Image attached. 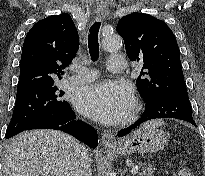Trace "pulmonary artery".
I'll use <instances>...</instances> for the list:
<instances>
[{
  "label": "pulmonary artery",
  "mask_w": 205,
  "mask_h": 176,
  "mask_svg": "<svg viewBox=\"0 0 205 176\" xmlns=\"http://www.w3.org/2000/svg\"><path fill=\"white\" fill-rule=\"evenodd\" d=\"M126 61L121 55H111L108 57V70L115 74L124 73ZM75 75L70 78V83L73 85L85 84L93 81L97 77V72L94 69L78 66L74 68Z\"/></svg>",
  "instance_id": "obj_1"
}]
</instances>
